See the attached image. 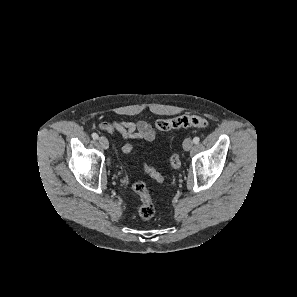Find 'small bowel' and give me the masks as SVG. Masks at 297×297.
Segmentation results:
<instances>
[{"label": "small bowel", "mask_w": 297, "mask_h": 297, "mask_svg": "<svg viewBox=\"0 0 297 297\" xmlns=\"http://www.w3.org/2000/svg\"><path fill=\"white\" fill-rule=\"evenodd\" d=\"M98 128L111 135L120 134L123 139H144L153 141L156 138V131L145 121L132 122L126 120H114L112 122H101Z\"/></svg>", "instance_id": "1"}]
</instances>
